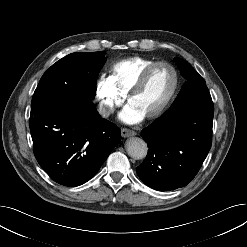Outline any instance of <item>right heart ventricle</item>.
Wrapping results in <instances>:
<instances>
[{
    "instance_id": "right-heart-ventricle-1",
    "label": "right heart ventricle",
    "mask_w": 247,
    "mask_h": 247,
    "mask_svg": "<svg viewBox=\"0 0 247 247\" xmlns=\"http://www.w3.org/2000/svg\"><path fill=\"white\" fill-rule=\"evenodd\" d=\"M154 62L139 56L123 59L111 67L108 79L115 90L126 97L141 72Z\"/></svg>"
}]
</instances>
